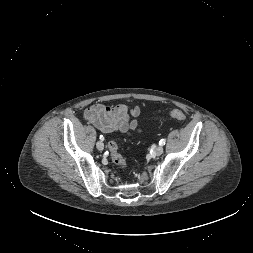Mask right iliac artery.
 Returning a JSON list of instances; mask_svg holds the SVG:
<instances>
[{
    "label": "right iliac artery",
    "mask_w": 253,
    "mask_h": 253,
    "mask_svg": "<svg viewBox=\"0 0 253 253\" xmlns=\"http://www.w3.org/2000/svg\"><path fill=\"white\" fill-rule=\"evenodd\" d=\"M100 140H102V141L104 140V137L102 135H100Z\"/></svg>",
    "instance_id": "right-iliac-artery-1"
}]
</instances>
